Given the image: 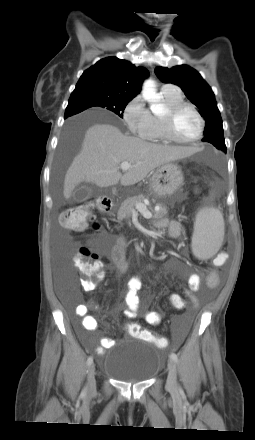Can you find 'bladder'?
Returning <instances> with one entry per match:
<instances>
[{
    "label": "bladder",
    "instance_id": "31cf9c89",
    "mask_svg": "<svg viewBox=\"0 0 255 440\" xmlns=\"http://www.w3.org/2000/svg\"><path fill=\"white\" fill-rule=\"evenodd\" d=\"M127 340L115 347L120 351L110 356L104 373L120 382L142 383L156 376L161 365L160 347L147 341L130 346Z\"/></svg>",
    "mask_w": 255,
    "mask_h": 440
}]
</instances>
